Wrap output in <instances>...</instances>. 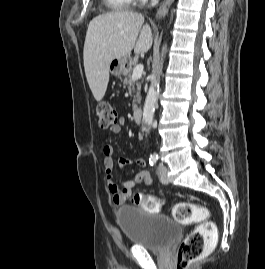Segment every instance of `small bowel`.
<instances>
[{"instance_id":"1","label":"small bowel","mask_w":265,"mask_h":269,"mask_svg":"<svg viewBox=\"0 0 265 269\" xmlns=\"http://www.w3.org/2000/svg\"><path fill=\"white\" fill-rule=\"evenodd\" d=\"M124 126V121L120 120L115 126L111 127V132L119 134ZM104 155V172L107 180L108 190L113 194L112 201L114 205L124 204L131 196L132 192L137 189L141 184L151 185L152 178L149 172L146 170V162L144 159L139 158L136 160V164L140 168L139 172L133 179L125 180L120 188L115 182L112 181V171L114 169V147L110 144H105L102 147ZM130 163V160L126 157L119 158V165L123 169Z\"/></svg>"}]
</instances>
